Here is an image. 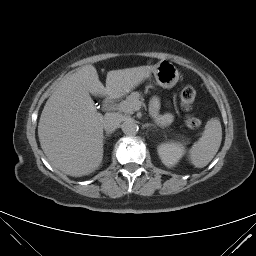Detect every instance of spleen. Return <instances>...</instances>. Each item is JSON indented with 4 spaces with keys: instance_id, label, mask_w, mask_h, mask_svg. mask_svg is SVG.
<instances>
[{
    "instance_id": "1",
    "label": "spleen",
    "mask_w": 256,
    "mask_h": 256,
    "mask_svg": "<svg viewBox=\"0 0 256 256\" xmlns=\"http://www.w3.org/2000/svg\"><path fill=\"white\" fill-rule=\"evenodd\" d=\"M222 141V127L217 118L210 119L202 137L189 150V160L197 168L205 167L216 155Z\"/></svg>"
}]
</instances>
